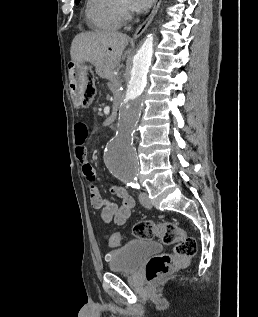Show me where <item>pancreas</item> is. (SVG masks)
Instances as JSON below:
<instances>
[{
	"mask_svg": "<svg viewBox=\"0 0 258 317\" xmlns=\"http://www.w3.org/2000/svg\"><path fill=\"white\" fill-rule=\"evenodd\" d=\"M109 81H110L111 89L115 90V92H120V86H119V82H118L117 78L111 77Z\"/></svg>",
	"mask_w": 258,
	"mask_h": 317,
	"instance_id": "1",
	"label": "pancreas"
}]
</instances>
